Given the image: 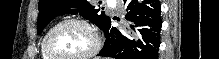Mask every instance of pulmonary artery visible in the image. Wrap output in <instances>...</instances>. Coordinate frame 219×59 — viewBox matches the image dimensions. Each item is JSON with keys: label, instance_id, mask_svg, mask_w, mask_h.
Instances as JSON below:
<instances>
[{"label": "pulmonary artery", "instance_id": "1", "mask_svg": "<svg viewBox=\"0 0 219 59\" xmlns=\"http://www.w3.org/2000/svg\"><path fill=\"white\" fill-rule=\"evenodd\" d=\"M107 4L114 10H117L120 1H107Z\"/></svg>", "mask_w": 219, "mask_h": 59}]
</instances>
